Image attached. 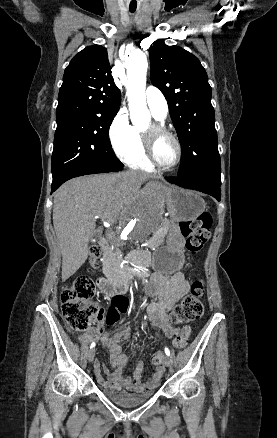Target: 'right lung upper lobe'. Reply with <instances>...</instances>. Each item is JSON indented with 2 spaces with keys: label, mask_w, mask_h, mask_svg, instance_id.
Segmentation results:
<instances>
[{
  "label": "right lung upper lobe",
  "mask_w": 277,
  "mask_h": 438,
  "mask_svg": "<svg viewBox=\"0 0 277 438\" xmlns=\"http://www.w3.org/2000/svg\"><path fill=\"white\" fill-rule=\"evenodd\" d=\"M120 102L121 94L111 75L107 50L92 45L79 52L65 69L56 117H112L118 112Z\"/></svg>",
  "instance_id": "1"
}]
</instances>
